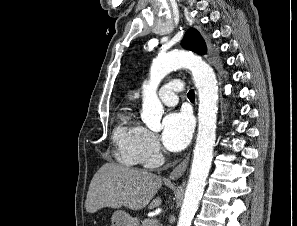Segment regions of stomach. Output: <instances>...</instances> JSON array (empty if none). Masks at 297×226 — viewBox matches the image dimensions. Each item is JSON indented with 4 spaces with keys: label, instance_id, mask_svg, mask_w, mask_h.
Returning <instances> with one entry per match:
<instances>
[{
    "label": "stomach",
    "instance_id": "1",
    "mask_svg": "<svg viewBox=\"0 0 297 226\" xmlns=\"http://www.w3.org/2000/svg\"><path fill=\"white\" fill-rule=\"evenodd\" d=\"M112 226H138V220L125 211H115L111 218Z\"/></svg>",
    "mask_w": 297,
    "mask_h": 226
}]
</instances>
